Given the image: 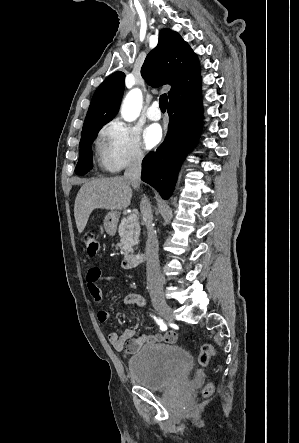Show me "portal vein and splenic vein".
I'll return each mask as SVG.
<instances>
[{
    "label": "portal vein and splenic vein",
    "mask_w": 299,
    "mask_h": 443,
    "mask_svg": "<svg viewBox=\"0 0 299 443\" xmlns=\"http://www.w3.org/2000/svg\"><path fill=\"white\" fill-rule=\"evenodd\" d=\"M136 215L135 214H131L129 217H128V219L130 220V221H132V220H134V219H136Z\"/></svg>",
    "instance_id": "obj_1"
}]
</instances>
